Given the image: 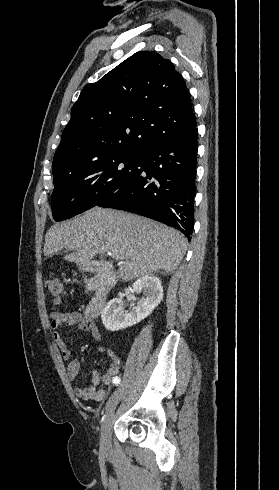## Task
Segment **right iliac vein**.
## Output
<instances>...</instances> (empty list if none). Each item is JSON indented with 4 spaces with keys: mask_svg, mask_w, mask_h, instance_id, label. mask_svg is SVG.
I'll use <instances>...</instances> for the list:
<instances>
[{
    "mask_svg": "<svg viewBox=\"0 0 279 490\" xmlns=\"http://www.w3.org/2000/svg\"><path fill=\"white\" fill-rule=\"evenodd\" d=\"M120 389L116 390L106 404L105 417L101 427L100 451L103 455L110 454L111 449V430L114 424L115 409L120 400Z\"/></svg>",
    "mask_w": 279,
    "mask_h": 490,
    "instance_id": "63e3f726",
    "label": "right iliac vein"
}]
</instances>
